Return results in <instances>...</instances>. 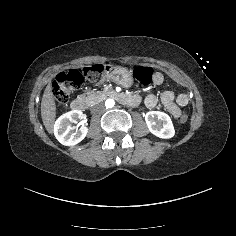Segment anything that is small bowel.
I'll return each instance as SVG.
<instances>
[{
	"mask_svg": "<svg viewBox=\"0 0 236 236\" xmlns=\"http://www.w3.org/2000/svg\"><path fill=\"white\" fill-rule=\"evenodd\" d=\"M162 82L163 76L160 73H156L153 78L154 85H161ZM157 102V98L153 94L148 95L145 99V104L149 108H154ZM162 103L165 109L177 118L181 113L180 106H185L188 103V98L187 95L180 94L175 101L173 93L167 91L162 96Z\"/></svg>",
	"mask_w": 236,
	"mask_h": 236,
	"instance_id": "1",
	"label": "small bowel"
}]
</instances>
